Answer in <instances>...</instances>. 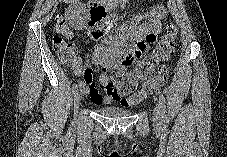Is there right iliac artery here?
I'll use <instances>...</instances> for the list:
<instances>
[{
	"label": "right iliac artery",
	"mask_w": 227,
	"mask_h": 157,
	"mask_svg": "<svg viewBox=\"0 0 227 157\" xmlns=\"http://www.w3.org/2000/svg\"><path fill=\"white\" fill-rule=\"evenodd\" d=\"M77 90H78V86H77V84H74V85L72 86V91H73V93L77 92Z\"/></svg>",
	"instance_id": "1"
}]
</instances>
